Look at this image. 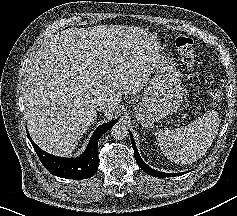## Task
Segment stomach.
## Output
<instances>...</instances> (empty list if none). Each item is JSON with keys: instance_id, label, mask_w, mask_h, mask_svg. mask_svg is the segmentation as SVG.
<instances>
[{"instance_id": "0dacf381", "label": "stomach", "mask_w": 237, "mask_h": 216, "mask_svg": "<svg viewBox=\"0 0 237 216\" xmlns=\"http://www.w3.org/2000/svg\"><path fill=\"white\" fill-rule=\"evenodd\" d=\"M162 79L156 77L149 83L141 102L134 108L137 121L145 127L174 113L180 106L182 88L177 74L170 70Z\"/></svg>"}]
</instances>
